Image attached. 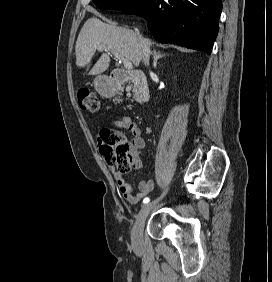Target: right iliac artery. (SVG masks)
<instances>
[{
  "mask_svg": "<svg viewBox=\"0 0 272 282\" xmlns=\"http://www.w3.org/2000/svg\"><path fill=\"white\" fill-rule=\"evenodd\" d=\"M148 202H149V198L148 197L144 198L143 203L146 204Z\"/></svg>",
  "mask_w": 272,
  "mask_h": 282,
  "instance_id": "right-iliac-artery-1",
  "label": "right iliac artery"
}]
</instances>
